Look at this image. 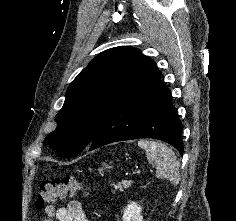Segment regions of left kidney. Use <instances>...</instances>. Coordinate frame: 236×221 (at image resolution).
<instances>
[{"instance_id": "5707ae66", "label": "left kidney", "mask_w": 236, "mask_h": 221, "mask_svg": "<svg viewBox=\"0 0 236 221\" xmlns=\"http://www.w3.org/2000/svg\"><path fill=\"white\" fill-rule=\"evenodd\" d=\"M141 207L135 203H130L123 212V221H143Z\"/></svg>"}]
</instances>
